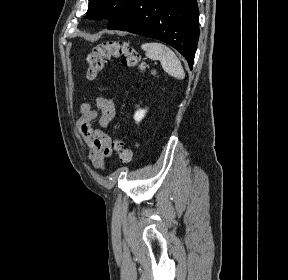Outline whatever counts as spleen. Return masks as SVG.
Segmentation results:
<instances>
[{
    "instance_id": "spleen-1",
    "label": "spleen",
    "mask_w": 288,
    "mask_h": 280,
    "mask_svg": "<svg viewBox=\"0 0 288 280\" xmlns=\"http://www.w3.org/2000/svg\"><path fill=\"white\" fill-rule=\"evenodd\" d=\"M142 49L152 60H159L165 72L177 78L184 79L185 72L175 53L166 45L158 42L144 43Z\"/></svg>"
}]
</instances>
